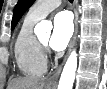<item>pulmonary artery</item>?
I'll list each match as a JSON object with an SVG mask.
<instances>
[{"mask_svg":"<svg viewBox=\"0 0 107 89\" xmlns=\"http://www.w3.org/2000/svg\"><path fill=\"white\" fill-rule=\"evenodd\" d=\"M61 4V0H39L30 9L28 14L41 19Z\"/></svg>","mask_w":107,"mask_h":89,"instance_id":"pulmonary-artery-1","label":"pulmonary artery"}]
</instances>
